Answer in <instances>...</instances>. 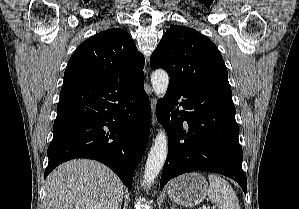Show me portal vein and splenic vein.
Listing matches in <instances>:
<instances>
[{
    "instance_id": "portal-vein-and-splenic-vein-1",
    "label": "portal vein and splenic vein",
    "mask_w": 299,
    "mask_h": 209,
    "mask_svg": "<svg viewBox=\"0 0 299 209\" xmlns=\"http://www.w3.org/2000/svg\"><path fill=\"white\" fill-rule=\"evenodd\" d=\"M202 209H212V208H211V207H209V206H208V207H206V206H203V207H202Z\"/></svg>"
}]
</instances>
